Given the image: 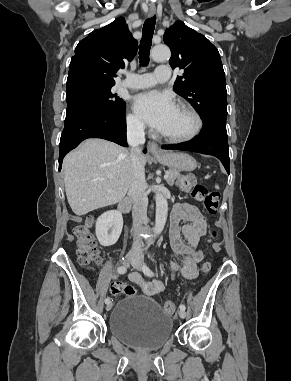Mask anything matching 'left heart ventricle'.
Listing matches in <instances>:
<instances>
[{
  "mask_svg": "<svg viewBox=\"0 0 291 381\" xmlns=\"http://www.w3.org/2000/svg\"><path fill=\"white\" fill-rule=\"evenodd\" d=\"M194 124V118L188 111L176 107L167 126L161 133L171 136H183L192 131Z\"/></svg>",
  "mask_w": 291,
  "mask_h": 381,
  "instance_id": "b2bd125f",
  "label": "left heart ventricle"
}]
</instances>
